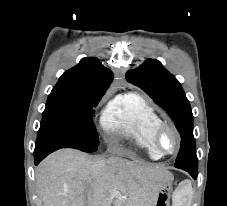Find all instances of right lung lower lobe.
<instances>
[{
    "mask_svg": "<svg viewBox=\"0 0 227 206\" xmlns=\"http://www.w3.org/2000/svg\"><path fill=\"white\" fill-rule=\"evenodd\" d=\"M55 151V149H44L37 152H34V163L38 165L47 155Z\"/></svg>",
    "mask_w": 227,
    "mask_h": 206,
    "instance_id": "right-lung-lower-lobe-1",
    "label": "right lung lower lobe"
}]
</instances>
